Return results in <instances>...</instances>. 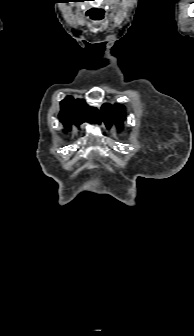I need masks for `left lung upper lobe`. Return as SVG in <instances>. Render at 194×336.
Here are the masks:
<instances>
[{
  "instance_id": "5c2ea615",
  "label": "left lung upper lobe",
  "mask_w": 194,
  "mask_h": 336,
  "mask_svg": "<svg viewBox=\"0 0 194 336\" xmlns=\"http://www.w3.org/2000/svg\"><path fill=\"white\" fill-rule=\"evenodd\" d=\"M102 115L104 122L109 128L113 122L119 123L121 120H123L125 116L124 107L119 104L116 105L104 104L102 106Z\"/></svg>"
}]
</instances>
